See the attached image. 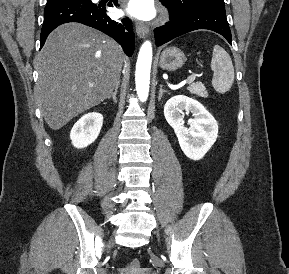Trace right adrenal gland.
Wrapping results in <instances>:
<instances>
[{"label": "right adrenal gland", "mask_w": 289, "mask_h": 274, "mask_svg": "<svg viewBox=\"0 0 289 274\" xmlns=\"http://www.w3.org/2000/svg\"><path fill=\"white\" fill-rule=\"evenodd\" d=\"M119 84H120V81H119L118 84L116 85L114 92H112L111 95L108 97V99H111V98H112L113 101H114V103H117V97H116V95H117V91H118Z\"/></svg>", "instance_id": "obj_1"}]
</instances>
